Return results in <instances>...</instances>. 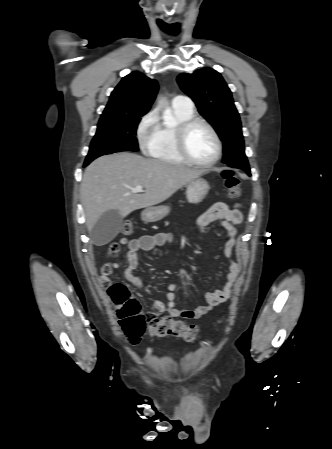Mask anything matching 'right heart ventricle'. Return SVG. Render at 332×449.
<instances>
[{
	"label": "right heart ventricle",
	"instance_id": "e07e8e85",
	"mask_svg": "<svg viewBox=\"0 0 332 449\" xmlns=\"http://www.w3.org/2000/svg\"><path fill=\"white\" fill-rule=\"evenodd\" d=\"M194 116L193 109L173 105L169 109L170 121L163 120L156 125L155 133L147 148V154L169 163H184L175 146V130L183 121Z\"/></svg>",
	"mask_w": 332,
	"mask_h": 449
}]
</instances>
